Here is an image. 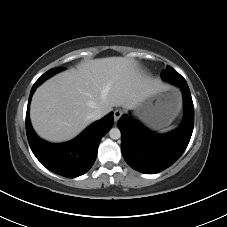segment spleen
Returning <instances> with one entry per match:
<instances>
[{
    "instance_id": "spleen-1",
    "label": "spleen",
    "mask_w": 227,
    "mask_h": 227,
    "mask_svg": "<svg viewBox=\"0 0 227 227\" xmlns=\"http://www.w3.org/2000/svg\"><path fill=\"white\" fill-rule=\"evenodd\" d=\"M172 128H173V126L172 127H169V128H166V129H163V130H161V132H166V131H168V130H170Z\"/></svg>"
}]
</instances>
